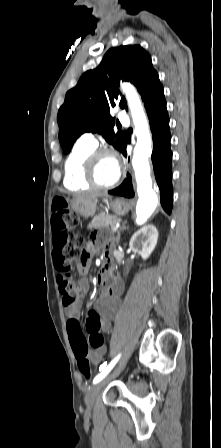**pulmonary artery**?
Listing matches in <instances>:
<instances>
[{"mask_svg": "<svg viewBox=\"0 0 221 448\" xmlns=\"http://www.w3.org/2000/svg\"><path fill=\"white\" fill-rule=\"evenodd\" d=\"M117 117L122 123L125 124L128 123V117L125 112L118 110ZM79 142L89 145L93 148H95L98 145L97 139L93 133L82 134Z\"/></svg>", "mask_w": 221, "mask_h": 448, "instance_id": "1", "label": "pulmonary artery"}]
</instances>
